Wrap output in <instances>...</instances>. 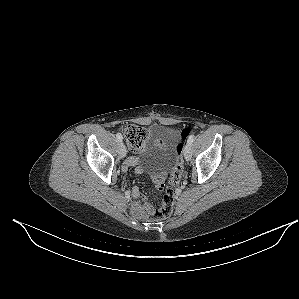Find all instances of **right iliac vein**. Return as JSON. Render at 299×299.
<instances>
[{
    "label": "right iliac vein",
    "instance_id": "obj_1",
    "mask_svg": "<svg viewBox=\"0 0 299 299\" xmlns=\"http://www.w3.org/2000/svg\"><path fill=\"white\" fill-rule=\"evenodd\" d=\"M126 153H127V151H126L125 145L123 143H120L119 144V155H120V157L124 158L126 156Z\"/></svg>",
    "mask_w": 299,
    "mask_h": 299
}]
</instances>
